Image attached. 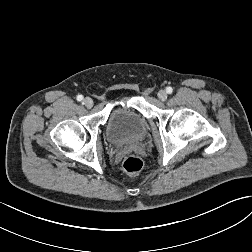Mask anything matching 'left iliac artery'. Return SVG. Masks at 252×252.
<instances>
[{
    "label": "left iliac artery",
    "mask_w": 252,
    "mask_h": 252,
    "mask_svg": "<svg viewBox=\"0 0 252 252\" xmlns=\"http://www.w3.org/2000/svg\"><path fill=\"white\" fill-rule=\"evenodd\" d=\"M166 92H167L168 94H171V93L173 92L172 87H167V88H166Z\"/></svg>",
    "instance_id": "left-iliac-artery-1"
}]
</instances>
